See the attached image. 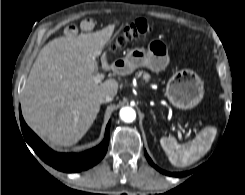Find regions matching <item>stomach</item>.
Listing matches in <instances>:
<instances>
[{"instance_id": "1", "label": "stomach", "mask_w": 245, "mask_h": 195, "mask_svg": "<svg viewBox=\"0 0 245 195\" xmlns=\"http://www.w3.org/2000/svg\"><path fill=\"white\" fill-rule=\"evenodd\" d=\"M167 63V46L162 41H154L148 49H131L123 59L116 60L113 66L117 74L128 75L139 67H147L154 72H159L165 69ZM166 96L177 108H193L204 96L203 81L190 69L177 71L167 83Z\"/></svg>"}]
</instances>
